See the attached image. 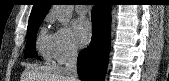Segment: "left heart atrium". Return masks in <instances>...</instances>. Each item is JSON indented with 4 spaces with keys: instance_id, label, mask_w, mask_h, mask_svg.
I'll use <instances>...</instances> for the list:
<instances>
[{
    "instance_id": "1",
    "label": "left heart atrium",
    "mask_w": 169,
    "mask_h": 81,
    "mask_svg": "<svg viewBox=\"0 0 169 81\" xmlns=\"http://www.w3.org/2000/svg\"><path fill=\"white\" fill-rule=\"evenodd\" d=\"M73 30H74V36L78 44L86 45L90 41L91 24L86 18L81 17L77 19L74 22Z\"/></svg>"
}]
</instances>
